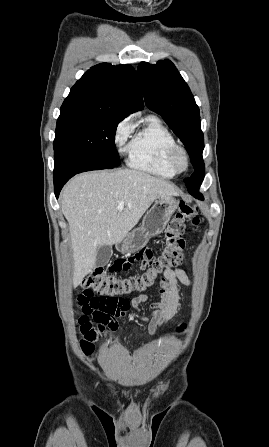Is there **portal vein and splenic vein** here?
Returning a JSON list of instances; mask_svg holds the SVG:
<instances>
[{
    "mask_svg": "<svg viewBox=\"0 0 269 447\" xmlns=\"http://www.w3.org/2000/svg\"><path fill=\"white\" fill-rule=\"evenodd\" d=\"M117 210H120V212H122V210H124V202H119V206H117Z\"/></svg>",
    "mask_w": 269,
    "mask_h": 447,
    "instance_id": "18ae733b",
    "label": "portal vein and splenic vein"
}]
</instances>
